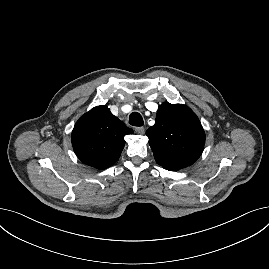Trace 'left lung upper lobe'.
Returning <instances> with one entry per match:
<instances>
[{"mask_svg": "<svg viewBox=\"0 0 269 269\" xmlns=\"http://www.w3.org/2000/svg\"><path fill=\"white\" fill-rule=\"evenodd\" d=\"M156 162L167 170L193 164L202 154L205 133L198 117L183 104L162 103L146 131Z\"/></svg>", "mask_w": 269, "mask_h": 269, "instance_id": "left-lung-upper-lobe-1", "label": "left lung upper lobe"}]
</instances>
